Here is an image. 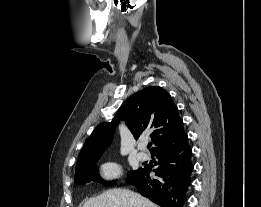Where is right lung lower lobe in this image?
Here are the masks:
<instances>
[{
    "mask_svg": "<svg viewBox=\"0 0 261 207\" xmlns=\"http://www.w3.org/2000/svg\"><path fill=\"white\" fill-rule=\"evenodd\" d=\"M151 155L158 159L154 177L149 176L152 167L144 165L128 176L127 183L161 207H183L193 171L188 137Z\"/></svg>",
    "mask_w": 261,
    "mask_h": 207,
    "instance_id": "1",
    "label": "right lung lower lobe"
}]
</instances>
